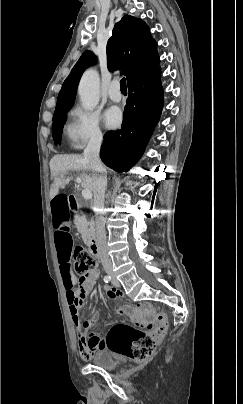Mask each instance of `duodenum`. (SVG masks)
<instances>
[{"label":"duodenum","mask_w":243,"mask_h":404,"mask_svg":"<svg viewBox=\"0 0 243 404\" xmlns=\"http://www.w3.org/2000/svg\"><path fill=\"white\" fill-rule=\"evenodd\" d=\"M69 206L70 209L73 211H77L79 208V204H78V200L75 196L70 195L69 196ZM90 251L92 253V255L96 258V259H100L101 258V252H100V248L99 245L97 243L96 240H91L90 244Z\"/></svg>","instance_id":"410a0bca"}]
</instances>
